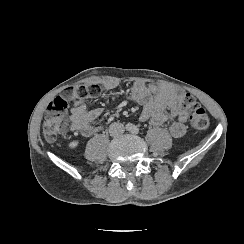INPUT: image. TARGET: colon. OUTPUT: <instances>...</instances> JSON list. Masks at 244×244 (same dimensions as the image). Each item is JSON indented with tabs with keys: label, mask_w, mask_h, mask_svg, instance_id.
<instances>
[{
	"label": "colon",
	"mask_w": 244,
	"mask_h": 244,
	"mask_svg": "<svg viewBox=\"0 0 244 244\" xmlns=\"http://www.w3.org/2000/svg\"><path fill=\"white\" fill-rule=\"evenodd\" d=\"M102 92V86L94 84L86 86L83 84L70 85L63 91L62 96L55 97L47 106L43 116L42 133L48 140L59 138L67 131L69 122L66 114L69 108L68 98L80 95L82 98L97 97ZM182 105L191 111L190 122L197 130H205L209 126V117L206 110L199 104L195 97L185 94L182 97Z\"/></svg>",
	"instance_id": "5ec220e1"
}]
</instances>
